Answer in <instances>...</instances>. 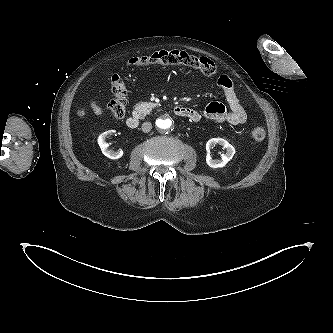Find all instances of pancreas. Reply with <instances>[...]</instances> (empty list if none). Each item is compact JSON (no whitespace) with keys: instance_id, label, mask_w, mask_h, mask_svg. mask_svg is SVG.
I'll use <instances>...</instances> for the list:
<instances>
[{"instance_id":"obj_1","label":"pancreas","mask_w":333,"mask_h":333,"mask_svg":"<svg viewBox=\"0 0 333 333\" xmlns=\"http://www.w3.org/2000/svg\"><path fill=\"white\" fill-rule=\"evenodd\" d=\"M156 106L157 103L142 102L135 105V110L138 112L139 116L143 118L151 112L152 108Z\"/></svg>"}]
</instances>
